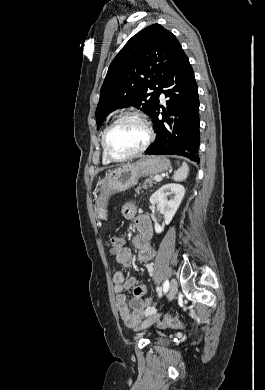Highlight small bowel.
I'll return each instance as SVG.
<instances>
[{
  "label": "small bowel",
  "mask_w": 265,
  "mask_h": 390,
  "mask_svg": "<svg viewBox=\"0 0 265 390\" xmlns=\"http://www.w3.org/2000/svg\"><path fill=\"white\" fill-rule=\"evenodd\" d=\"M123 216L135 221L137 234L132 238V243L137 249V259L143 263H149L154 257V249L150 244L152 226L149 218L139 213L133 203H126L122 208ZM125 238L118 236V248L114 252L116 262L125 269L117 271L113 276L114 289L116 291V305L122 321L130 326H136L145 314L144 299L147 295L145 284L138 283L129 276L127 269L132 265L134 256L128 247L124 246ZM133 290V297L127 301L124 294L126 290Z\"/></svg>",
  "instance_id": "c3829d8e"
}]
</instances>
